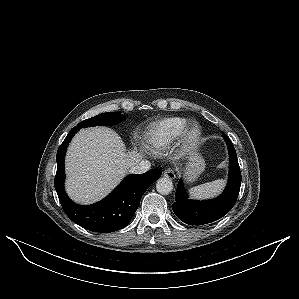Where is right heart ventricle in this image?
Instances as JSON below:
<instances>
[{
	"label": "right heart ventricle",
	"mask_w": 299,
	"mask_h": 299,
	"mask_svg": "<svg viewBox=\"0 0 299 299\" xmlns=\"http://www.w3.org/2000/svg\"><path fill=\"white\" fill-rule=\"evenodd\" d=\"M188 124L183 117H170L154 122L148 129L146 143L154 154H161L181 135Z\"/></svg>",
	"instance_id": "1"
}]
</instances>
